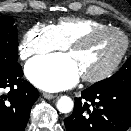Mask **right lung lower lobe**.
<instances>
[{"label": "right lung lower lobe", "mask_w": 131, "mask_h": 131, "mask_svg": "<svg viewBox=\"0 0 131 131\" xmlns=\"http://www.w3.org/2000/svg\"><path fill=\"white\" fill-rule=\"evenodd\" d=\"M20 65L10 71H0V131H24L32 105L39 93L23 80ZM9 87L5 95L3 90Z\"/></svg>", "instance_id": "1"}]
</instances>
